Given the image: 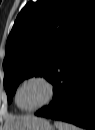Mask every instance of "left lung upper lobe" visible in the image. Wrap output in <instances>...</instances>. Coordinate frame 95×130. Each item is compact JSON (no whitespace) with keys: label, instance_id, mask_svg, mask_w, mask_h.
<instances>
[{"label":"left lung upper lobe","instance_id":"left-lung-upper-lobe-1","mask_svg":"<svg viewBox=\"0 0 95 130\" xmlns=\"http://www.w3.org/2000/svg\"><path fill=\"white\" fill-rule=\"evenodd\" d=\"M94 13V0H37L25 5L6 43L3 83L9 103L25 78L43 76L51 82L80 24Z\"/></svg>","mask_w":95,"mask_h":130}]
</instances>
